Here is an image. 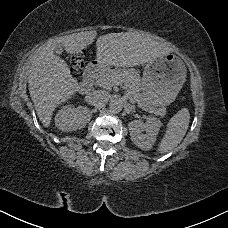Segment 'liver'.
<instances>
[{"mask_svg":"<svg viewBox=\"0 0 228 228\" xmlns=\"http://www.w3.org/2000/svg\"><path fill=\"white\" fill-rule=\"evenodd\" d=\"M97 31H83L49 41L30 58L29 94L39 121L45 128L51 125L55 108L72 99L82 85L73 77L68 65L54 54L57 44H62L69 54H78L91 45ZM101 67H133L153 62L172 52L157 41L138 32L110 33L101 36L97 43Z\"/></svg>","mask_w":228,"mask_h":228,"instance_id":"1","label":"liver"}]
</instances>
